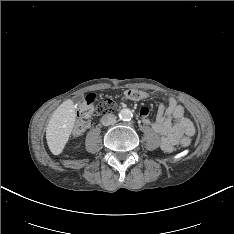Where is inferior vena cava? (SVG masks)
I'll return each instance as SVG.
<instances>
[{
    "label": "inferior vena cava",
    "mask_w": 234,
    "mask_h": 234,
    "mask_svg": "<svg viewBox=\"0 0 234 234\" xmlns=\"http://www.w3.org/2000/svg\"><path fill=\"white\" fill-rule=\"evenodd\" d=\"M116 122V116L113 114H106L101 118V123L104 126L113 125Z\"/></svg>",
    "instance_id": "602c4592"
}]
</instances>
